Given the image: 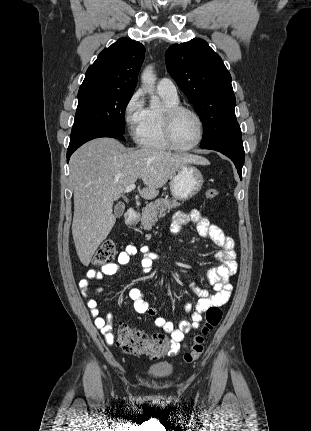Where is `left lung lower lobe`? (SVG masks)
Returning <instances> with one entry per match:
<instances>
[{
	"label": "left lung lower lobe",
	"instance_id": "obj_1",
	"mask_svg": "<svg viewBox=\"0 0 311 431\" xmlns=\"http://www.w3.org/2000/svg\"><path fill=\"white\" fill-rule=\"evenodd\" d=\"M201 148L215 150L229 157L235 164L240 179H242L241 172L244 164L245 152L241 135L231 136Z\"/></svg>",
	"mask_w": 311,
	"mask_h": 431
}]
</instances>
